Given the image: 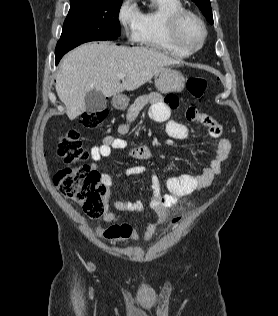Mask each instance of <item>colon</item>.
Segmentation results:
<instances>
[{
	"mask_svg": "<svg viewBox=\"0 0 278 316\" xmlns=\"http://www.w3.org/2000/svg\"><path fill=\"white\" fill-rule=\"evenodd\" d=\"M206 88L207 81L204 78L193 77L187 80V90L196 99L204 95ZM106 115L105 111L85 113L82 116V124L86 128H97L103 123ZM57 152L67 165L54 176L57 189L62 195L79 204L89 217H101L105 212L107 188L102 184L98 172L80 164L88 158V153L76 128L67 130L60 137Z\"/></svg>",
	"mask_w": 278,
	"mask_h": 316,
	"instance_id": "colon-1",
	"label": "colon"
}]
</instances>
